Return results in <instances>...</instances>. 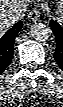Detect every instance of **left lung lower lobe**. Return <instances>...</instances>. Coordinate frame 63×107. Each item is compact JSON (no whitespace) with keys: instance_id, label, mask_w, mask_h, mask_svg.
Here are the masks:
<instances>
[{"instance_id":"1","label":"left lung lower lobe","mask_w":63,"mask_h":107,"mask_svg":"<svg viewBox=\"0 0 63 107\" xmlns=\"http://www.w3.org/2000/svg\"><path fill=\"white\" fill-rule=\"evenodd\" d=\"M51 29L56 39V50L54 52V59L63 70V27H61L56 21H50Z\"/></svg>"}]
</instances>
